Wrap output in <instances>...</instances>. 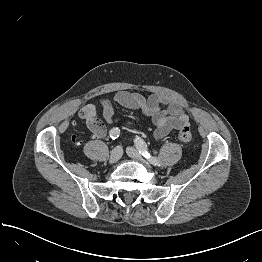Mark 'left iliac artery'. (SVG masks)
I'll list each match as a JSON object with an SVG mask.
<instances>
[{"mask_svg":"<svg viewBox=\"0 0 262 262\" xmlns=\"http://www.w3.org/2000/svg\"><path fill=\"white\" fill-rule=\"evenodd\" d=\"M134 143H135V146H136L137 150L139 151V153L143 157H145L152 165L160 166L159 161L149 153V151L147 149V145H146V143L144 142L143 139H141L140 137H136L134 139Z\"/></svg>","mask_w":262,"mask_h":262,"instance_id":"left-iliac-artery-1","label":"left iliac artery"}]
</instances>
